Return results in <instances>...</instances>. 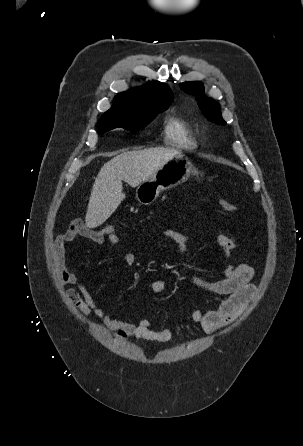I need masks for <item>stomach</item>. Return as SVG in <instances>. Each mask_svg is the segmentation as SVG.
I'll return each instance as SVG.
<instances>
[{"label":"stomach","instance_id":"1","mask_svg":"<svg viewBox=\"0 0 303 446\" xmlns=\"http://www.w3.org/2000/svg\"><path fill=\"white\" fill-rule=\"evenodd\" d=\"M197 174L198 172L188 158L183 155H177L157 169L148 180L138 186L136 199L143 205H149L157 199L162 191L187 181L190 175Z\"/></svg>","mask_w":303,"mask_h":446}]
</instances>
